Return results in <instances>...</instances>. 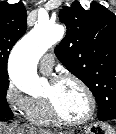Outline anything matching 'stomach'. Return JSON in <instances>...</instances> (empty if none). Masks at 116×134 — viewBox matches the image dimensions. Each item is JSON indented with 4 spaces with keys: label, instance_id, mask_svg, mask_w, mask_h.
Listing matches in <instances>:
<instances>
[{
    "label": "stomach",
    "instance_id": "0dacf381",
    "mask_svg": "<svg viewBox=\"0 0 116 134\" xmlns=\"http://www.w3.org/2000/svg\"><path fill=\"white\" fill-rule=\"evenodd\" d=\"M63 134H73L72 132H65ZM84 134H116L112 127L105 123H93L84 130Z\"/></svg>",
    "mask_w": 116,
    "mask_h": 134
}]
</instances>
